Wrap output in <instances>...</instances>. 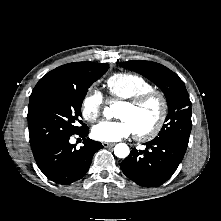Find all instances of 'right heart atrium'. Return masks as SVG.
Listing matches in <instances>:
<instances>
[{
    "instance_id": "right-heart-atrium-1",
    "label": "right heart atrium",
    "mask_w": 221,
    "mask_h": 221,
    "mask_svg": "<svg viewBox=\"0 0 221 221\" xmlns=\"http://www.w3.org/2000/svg\"><path fill=\"white\" fill-rule=\"evenodd\" d=\"M104 107V97L100 90L90 89L84 95L81 102L82 117L93 123L98 120Z\"/></svg>"
}]
</instances>
